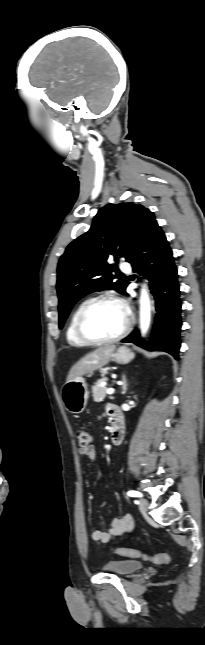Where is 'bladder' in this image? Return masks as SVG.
<instances>
[{"mask_svg":"<svg viewBox=\"0 0 205 645\" xmlns=\"http://www.w3.org/2000/svg\"><path fill=\"white\" fill-rule=\"evenodd\" d=\"M102 568L110 573L127 576L141 570L143 568V564L134 559H115L106 562Z\"/></svg>","mask_w":205,"mask_h":645,"instance_id":"31cf9c89","label":"bladder"}]
</instances>
